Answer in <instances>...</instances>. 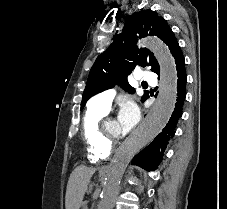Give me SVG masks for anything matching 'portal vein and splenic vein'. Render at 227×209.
<instances>
[{
    "label": "portal vein and splenic vein",
    "mask_w": 227,
    "mask_h": 209,
    "mask_svg": "<svg viewBox=\"0 0 227 209\" xmlns=\"http://www.w3.org/2000/svg\"><path fill=\"white\" fill-rule=\"evenodd\" d=\"M86 206H87V208H86V209H89V208H88V206H89V205L87 204Z\"/></svg>",
    "instance_id": "obj_1"
}]
</instances>
